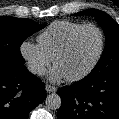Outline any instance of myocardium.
I'll list each match as a JSON object with an SVG mask.
<instances>
[{
  "instance_id": "myocardium-1",
  "label": "myocardium",
  "mask_w": 119,
  "mask_h": 119,
  "mask_svg": "<svg viewBox=\"0 0 119 119\" xmlns=\"http://www.w3.org/2000/svg\"><path fill=\"white\" fill-rule=\"evenodd\" d=\"M86 29H94L99 33L100 48H99V51H98L95 59L88 66V68H86L83 72H81L78 75L66 77V80L69 82L81 81L84 78H86L87 76H89L94 71V69L97 67V65L99 64V62L104 54V51H105L106 40H105V34H104L103 30L95 24H84L83 26H81L80 28L75 30L69 36V38L66 40L64 45L57 51V53L55 54V56L53 58L54 66H56L57 61L70 50V48H71L73 42L75 41V39L77 38V36Z\"/></svg>"
}]
</instances>
